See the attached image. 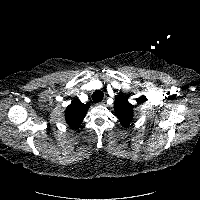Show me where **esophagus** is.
Listing matches in <instances>:
<instances>
[{
  "instance_id": "1",
  "label": "esophagus",
  "mask_w": 200,
  "mask_h": 200,
  "mask_svg": "<svg viewBox=\"0 0 200 200\" xmlns=\"http://www.w3.org/2000/svg\"><path fill=\"white\" fill-rule=\"evenodd\" d=\"M98 105H101V106L105 105V101L99 102Z\"/></svg>"
}]
</instances>
